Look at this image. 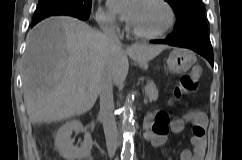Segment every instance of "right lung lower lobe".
Wrapping results in <instances>:
<instances>
[{"mask_svg":"<svg viewBox=\"0 0 242 160\" xmlns=\"http://www.w3.org/2000/svg\"><path fill=\"white\" fill-rule=\"evenodd\" d=\"M36 23H38V22H32L31 26H34Z\"/></svg>","mask_w":242,"mask_h":160,"instance_id":"98d812e1","label":"right lung lower lobe"}]
</instances>
